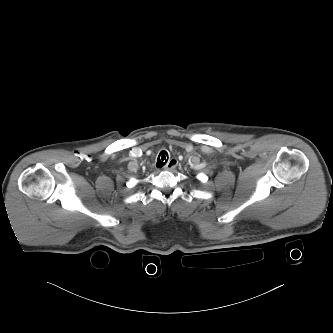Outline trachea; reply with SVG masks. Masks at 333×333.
Listing matches in <instances>:
<instances>
[{
  "label": "trachea",
  "instance_id": "trachea-1",
  "mask_svg": "<svg viewBox=\"0 0 333 333\" xmlns=\"http://www.w3.org/2000/svg\"><path fill=\"white\" fill-rule=\"evenodd\" d=\"M167 161H168V153L165 150H163L160 152L158 156V162L156 163V166L158 168H161L167 163Z\"/></svg>",
  "mask_w": 333,
  "mask_h": 333
}]
</instances>
